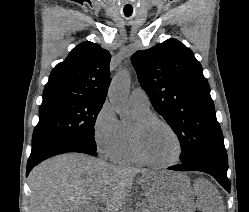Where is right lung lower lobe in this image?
Returning a JSON list of instances; mask_svg holds the SVG:
<instances>
[{
    "instance_id": "right-lung-lower-lobe-1",
    "label": "right lung lower lobe",
    "mask_w": 249,
    "mask_h": 212,
    "mask_svg": "<svg viewBox=\"0 0 249 212\" xmlns=\"http://www.w3.org/2000/svg\"><path fill=\"white\" fill-rule=\"evenodd\" d=\"M67 152H79L89 155L95 154L94 156L97 155L96 151L92 152L90 149H87L82 142L73 138L62 137L43 140L32 146L31 155L27 162L26 176H28L34 166L43 160Z\"/></svg>"
}]
</instances>
